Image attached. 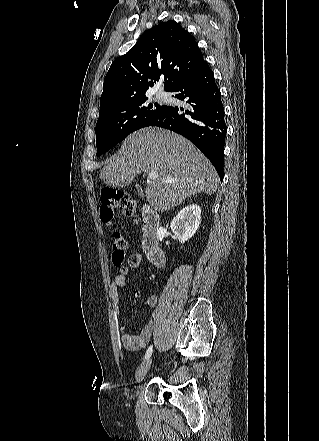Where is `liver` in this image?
Here are the masks:
<instances>
[{"mask_svg":"<svg viewBox=\"0 0 319 441\" xmlns=\"http://www.w3.org/2000/svg\"><path fill=\"white\" fill-rule=\"evenodd\" d=\"M158 172L146 187V199L157 211H165L197 193L212 195L219 177L210 161L187 139L166 129L147 127L130 134L118 153L101 169V180L115 187L129 185L140 172ZM163 178L176 179L165 183Z\"/></svg>","mask_w":319,"mask_h":441,"instance_id":"obj_1","label":"liver"}]
</instances>
